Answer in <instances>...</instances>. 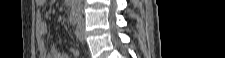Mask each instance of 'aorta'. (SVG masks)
I'll return each mask as SVG.
<instances>
[{
    "label": "aorta",
    "instance_id": "762f6f07",
    "mask_svg": "<svg viewBox=\"0 0 225 58\" xmlns=\"http://www.w3.org/2000/svg\"><path fill=\"white\" fill-rule=\"evenodd\" d=\"M75 8H76L77 12H80V10H81L80 0H78V2L76 3Z\"/></svg>",
    "mask_w": 225,
    "mask_h": 58
}]
</instances>
